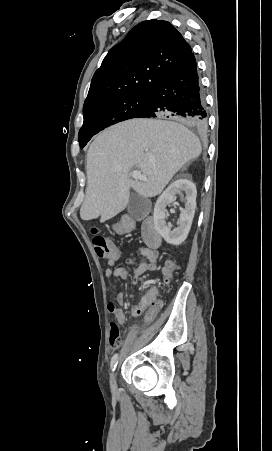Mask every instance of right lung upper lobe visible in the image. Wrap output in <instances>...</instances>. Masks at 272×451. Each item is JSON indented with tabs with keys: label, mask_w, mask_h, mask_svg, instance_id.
<instances>
[{
	"label": "right lung upper lobe",
	"mask_w": 272,
	"mask_h": 451,
	"mask_svg": "<svg viewBox=\"0 0 272 451\" xmlns=\"http://www.w3.org/2000/svg\"><path fill=\"white\" fill-rule=\"evenodd\" d=\"M192 55L190 45L169 22L139 23L96 70L83 111L110 99L150 94Z\"/></svg>",
	"instance_id": "right-lung-upper-lobe-1"
}]
</instances>
